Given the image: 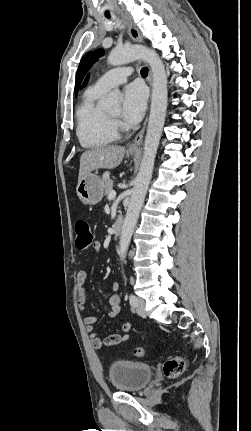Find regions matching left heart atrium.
<instances>
[{
    "label": "left heart atrium",
    "mask_w": 251,
    "mask_h": 431,
    "mask_svg": "<svg viewBox=\"0 0 251 431\" xmlns=\"http://www.w3.org/2000/svg\"><path fill=\"white\" fill-rule=\"evenodd\" d=\"M147 103V91L140 83H132L124 89L122 115L128 122L142 117Z\"/></svg>",
    "instance_id": "1"
}]
</instances>
